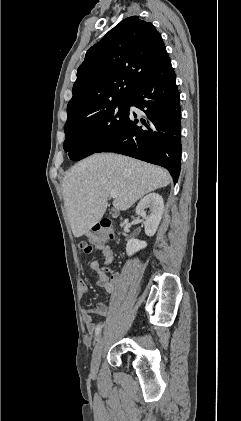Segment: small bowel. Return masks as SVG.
<instances>
[{"instance_id":"obj_1","label":"small bowel","mask_w":241,"mask_h":421,"mask_svg":"<svg viewBox=\"0 0 241 421\" xmlns=\"http://www.w3.org/2000/svg\"><path fill=\"white\" fill-rule=\"evenodd\" d=\"M96 249L99 250L104 257V265L108 266L113 262L114 254L110 246L106 244H101L96 246ZM90 269L97 274V285L105 289L108 293H114L116 291L118 276L116 273L112 272L110 277L107 276L105 271L100 267V264L97 261H92L90 263ZM88 293V285L86 282L81 281L79 284V294L85 296ZM109 313V306L106 303L99 302L94 308H87L83 310L82 316L83 321L86 326V330L89 334H94L97 325L92 320V315L97 314L100 316H107Z\"/></svg>"}]
</instances>
